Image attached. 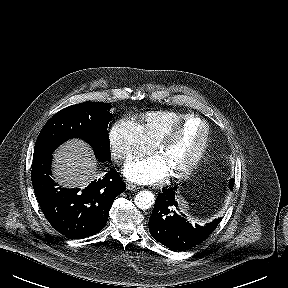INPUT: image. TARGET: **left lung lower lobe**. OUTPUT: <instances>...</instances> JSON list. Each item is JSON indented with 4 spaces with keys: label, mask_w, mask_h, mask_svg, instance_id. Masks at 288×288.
I'll use <instances>...</instances> for the list:
<instances>
[{
    "label": "left lung lower lobe",
    "mask_w": 288,
    "mask_h": 288,
    "mask_svg": "<svg viewBox=\"0 0 288 288\" xmlns=\"http://www.w3.org/2000/svg\"><path fill=\"white\" fill-rule=\"evenodd\" d=\"M176 187L163 189V192L158 194L149 219V231L156 241L173 251H181L204 241L216 229L221 218L205 226H192L184 215L177 211Z\"/></svg>",
    "instance_id": "1"
}]
</instances>
